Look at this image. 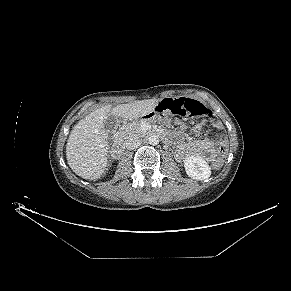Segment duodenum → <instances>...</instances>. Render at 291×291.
I'll use <instances>...</instances> for the list:
<instances>
[{
	"mask_svg": "<svg viewBox=\"0 0 291 291\" xmlns=\"http://www.w3.org/2000/svg\"><path fill=\"white\" fill-rule=\"evenodd\" d=\"M151 135H155V136H162L163 133L161 131H152L150 133ZM125 148V144L124 141L122 139H117L113 146H112V156L116 159H119L121 157V155L123 154Z\"/></svg>",
	"mask_w": 291,
	"mask_h": 291,
	"instance_id": "obj_1",
	"label": "duodenum"
}]
</instances>
